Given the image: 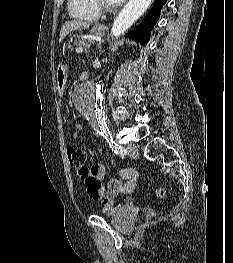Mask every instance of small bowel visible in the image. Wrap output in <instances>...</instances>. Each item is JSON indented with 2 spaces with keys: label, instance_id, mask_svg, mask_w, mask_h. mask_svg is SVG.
Masks as SVG:
<instances>
[{
  "label": "small bowel",
  "instance_id": "obj_1",
  "mask_svg": "<svg viewBox=\"0 0 233 263\" xmlns=\"http://www.w3.org/2000/svg\"><path fill=\"white\" fill-rule=\"evenodd\" d=\"M88 168V175L80 177L86 185L88 196L96 201L103 202V212L112 214L115 211L130 207L132 199L130 194L134 192L138 184V173L132 168H123L119 171V179L106 180V166L102 163ZM122 198L115 203V198Z\"/></svg>",
  "mask_w": 233,
  "mask_h": 263
}]
</instances>
